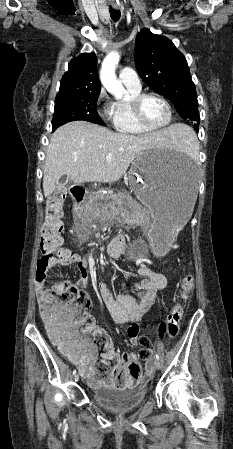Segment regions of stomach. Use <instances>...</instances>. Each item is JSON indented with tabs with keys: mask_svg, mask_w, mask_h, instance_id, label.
<instances>
[{
	"mask_svg": "<svg viewBox=\"0 0 233 449\" xmlns=\"http://www.w3.org/2000/svg\"><path fill=\"white\" fill-rule=\"evenodd\" d=\"M129 186L147 208V233L155 249L165 250L174 231L190 219L197 200V169L188 158L150 149L137 156L128 175ZM143 254L145 244L133 245Z\"/></svg>",
	"mask_w": 233,
	"mask_h": 449,
	"instance_id": "0dacf381",
	"label": "stomach"
}]
</instances>
